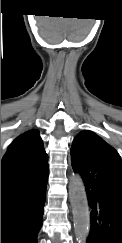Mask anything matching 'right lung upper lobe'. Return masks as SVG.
<instances>
[{"instance_id": "1", "label": "right lung upper lobe", "mask_w": 122, "mask_h": 243, "mask_svg": "<svg viewBox=\"0 0 122 243\" xmlns=\"http://www.w3.org/2000/svg\"><path fill=\"white\" fill-rule=\"evenodd\" d=\"M48 156L36 130L18 136L8 147L1 162V187L14 180L48 168Z\"/></svg>"}]
</instances>
